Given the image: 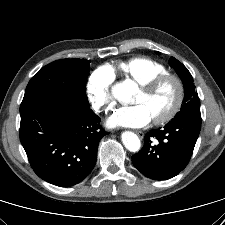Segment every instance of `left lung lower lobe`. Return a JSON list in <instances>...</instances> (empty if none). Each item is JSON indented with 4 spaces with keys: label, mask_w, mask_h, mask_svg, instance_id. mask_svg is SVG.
Wrapping results in <instances>:
<instances>
[{
    "label": "left lung lower lobe",
    "mask_w": 225,
    "mask_h": 225,
    "mask_svg": "<svg viewBox=\"0 0 225 225\" xmlns=\"http://www.w3.org/2000/svg\"><path fill=\"white\" fill-rule=\"evenodd\" d=\"M201 119L185 118L146 133L144 147L132 156L134 166L146 177L165 180L188 164L200 133ZM157 139L156 145L153 140Z\"/></svg>",
    "instance_id": "0a47b994"
}]
</instances>
